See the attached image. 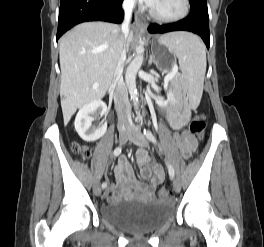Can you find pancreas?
<instances>
[{
	"mask_svg": "<svg viewBox=\"0 0 264 247\" xmlns=\"http://www.w3.org/2000/svg\"><path fill=\"white\" fill-rule=\"evenodd\" d=\"M179 79H180V76L177 75V76L174 78V81L176 82V81H178Z\"/></svg>",
	"mask_w": 264,
	"mask_h": 247,
	"instance_id": "pancreas-1",
	"label": "pancreas"
}]
</instances>
